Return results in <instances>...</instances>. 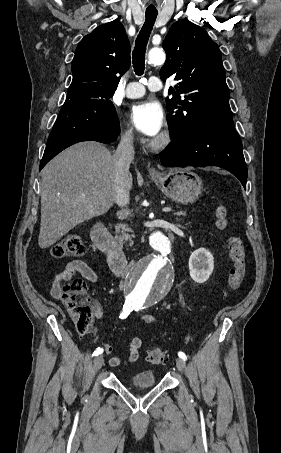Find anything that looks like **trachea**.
I'll list each match as a JSON object with an SVG mask.
<instances>
[{"mask_svg":"<svg viewBox=\"0 0 281 453\" xmlns=\"http://www.w3.org/2000/svg\"><path fill=\"white\" fill-rule=\"evenodd\" d=\"M157 15L158 13L153 12L145 13L146 19L144 25L136 38L135 48L132 53L133 68L136 75H142L144 73L146 46Z\"/></svg>","mask_w":281,"mask_h":453,"instance_id":"trachea-1","label":"trachea"}]
</instances>
